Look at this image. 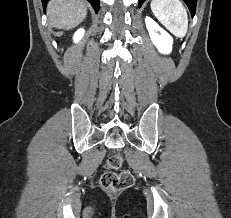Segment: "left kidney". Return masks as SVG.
<instances>
[{
    "label": "left kidney",
    "mask_w": 231,
    "mask_h": 218,
    "mask_svg": "<svg viewBox=\"0 0 231 218\" xmlns=\"http://www.w3.org/2000/svg\"><path fill=\"white\" fill-rule=\"evenodd\" d=\"M145 23L149 32L151 41L158 51L163 54H169L172 50L173 38L160 27L152 18L146 17Z\"/></svg>",
    "instance_id": "5707ae66"
}]
</instances>
